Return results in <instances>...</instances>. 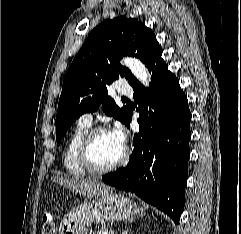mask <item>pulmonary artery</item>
<instances>
[{
    "label": "pulmonary artery",
    "mask_w": 241,
    "mask_h": 234,
    "mask_svg": "<svg viewBox=\"0 0 241 234\" xmlns=\"http://www.w3.org/2000/svg\"><path fill=\"white\" fill-rule=\"evenodd\" d=\"M117 92L120 95H131L132 94V88L127 84H119L116 88ZM79 121L85 124H92L93 117L90 113H85L80 116Z\"/></svg>",
    "instance_id": "pulmonary-artery-1"
}]
</instances>
